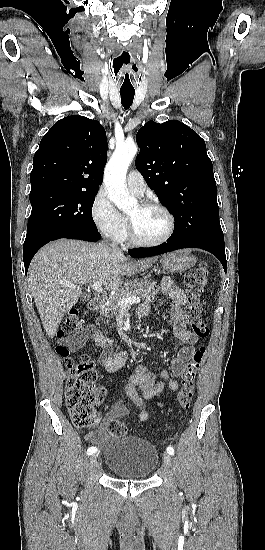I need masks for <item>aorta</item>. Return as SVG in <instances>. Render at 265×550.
<instances>
[{
    "instance_id": "762f6f07",
    "label": "aorta",
    "mask_w": 265,
    "mask_h": 550,
    "mask_svg": "<svg viewBox=\"0 0 265 550\" xmlns=\"http://www.w3.org/2000/svg\"><path fill=\"white\" fill-rule=\"evenodd\" d=\"M137 151L138 147L133 142L118 145L105 167L104 184L108 198L120 210L130 209L137 202L128 194L125 182L127 169Z\"/></svg>"
}]
</instances>
